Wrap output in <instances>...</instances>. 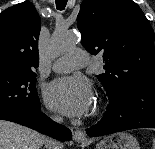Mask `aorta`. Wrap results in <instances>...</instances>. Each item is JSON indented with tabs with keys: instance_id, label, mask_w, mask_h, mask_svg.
<instances>
[{
	"instance_id": "1",
	"label": "aorta",
	"mask_w": 155,
	"mask_h": 149,
	"mask_svg": "<svg viewBox=\"0 0 155 149\" xmlns=\"http://www.w3.org/2000/svg\"><path fill=\"white\" fill-rule=\"evenodd\" d=\"M79 40L76 34L70 33L64 27H57L52 35L50 54L58 55L73 48Z\"/></svg>"
}]
</instances>
